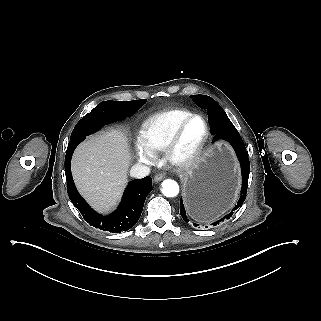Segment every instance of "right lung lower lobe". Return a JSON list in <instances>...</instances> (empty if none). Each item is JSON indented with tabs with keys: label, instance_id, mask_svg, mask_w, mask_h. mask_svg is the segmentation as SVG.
<instances>
[{
	"label": "right lung lower lobe",
	"instance_id": "obj_1",
	"mask_svg": "<svg viewBox=\"0 0 321 321\" xmlns=\"http://www.w3.org/2000/svg\"><path fill=\"white\" fill-rule=\"evenodd\" d=\"M139 107L129 102L111 101L99 106L95 114L101 119L103 125L125 119L138 111ZM87 133L70 138L65 156V174L67 192L74 206L80 211L84 220L91 226L103 231L120 233L127 231L135 225L140 218L147 195L152 190V179L147 176L143 179L131 181L115 212L102 216L96 213L78 193L71 174V158L77 145L82 142Z\"/></svg>",
	"mask_w": 321,
	"mask_h": 321
}]
</instances>
